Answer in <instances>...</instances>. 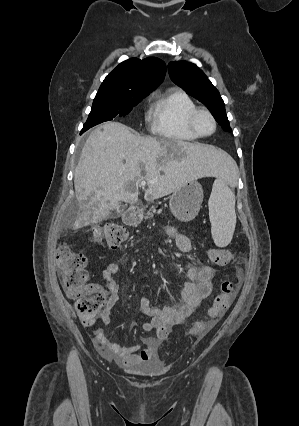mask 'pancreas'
Returning <instances> with one entry per match:
<instances>
[{
  "label": "pancreas",
  "instance_id": "1",
  "mask_svg": "<svg viewBox=\"0 0 299 426\" xmlns=\"http://www.w3.org/2000/svg\"><path fill=\"white\" fill-rule=\"evenodd\" d=\"M155 212H156V210H155V209H152V210H151V212H150V211L148 212V216H152V215H153V213H155Z\"/></svg>",
  "mask_w": 299,
  "mask_h": 426
}]
</instances>
